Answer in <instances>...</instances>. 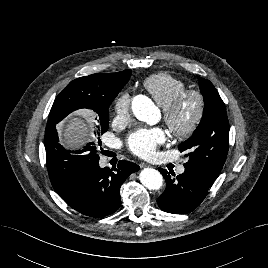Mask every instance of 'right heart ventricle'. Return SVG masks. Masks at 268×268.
Returning <instances> with one entry per match:
<instances>
[{
    "label": "right heart ventricle",
    "mask_w": 268,
    "mask_h": 268,
    "mask_svg": "<svg viewBox=\"0 0 268 268\" xmlns=\"http://www.w3.org/2000/svg\"><path fill=\"white\" fill-rule=\"evenodd\" d=\"M143 87L155 102L165 109L180 92L185 90L186 85L169 74L157 73L145 79Z\"/></svg>",
    "instance_id": "e07e8e85"
}]
</instances>
